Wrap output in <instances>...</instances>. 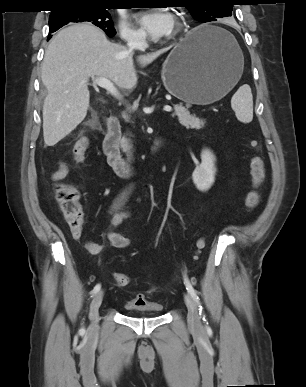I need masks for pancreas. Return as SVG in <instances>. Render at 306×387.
I'll return each mask as SVG.
<instances>
[{
	"label": "pancreas",
	"instance_id": "1",
	"mask_svg": "<svg viewBox=\"0 0 306 387\" xmlns=\"http://www.w3.org/2000/svg\"><path fill=\"white\" fill-rule=\"evenodd\" d=\"M174 109V116H177L178 121L182 126L187 129H201L204 127L205 122L200 120L198 117L191 115L188 109L181 104L174 105ZM120 143L124 152H128L130 150L131 146L129 145L128 139L123 137Z\"/></svg>",
	"mask_w": 306,
	"mask_h": 387
}]
</instances>
